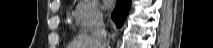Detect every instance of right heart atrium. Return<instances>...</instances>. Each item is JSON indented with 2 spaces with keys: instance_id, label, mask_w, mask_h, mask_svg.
<instances>
[{
  "instance_id": "right-heart-atrium-1",
  "label": "right heart atrium",
  "mask_w": 213,
  "mask_h": 48,
  "mask_svg": "<svg viewBox=\"0 0 213 48\" xmlns=\"http://www.w3.org/2000/svg\"><path fill=\"white\" fill-rule=\"evenodd\" d=\"M72 16L79 31L88 32L99 26L103 20L97 1L82 0L76 1Z\"/></svg>"
}]
</instances>
